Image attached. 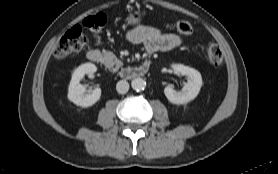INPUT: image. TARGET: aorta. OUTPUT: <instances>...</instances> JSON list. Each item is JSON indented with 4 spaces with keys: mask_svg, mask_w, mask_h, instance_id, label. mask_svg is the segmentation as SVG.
<instances>
[{
    "mask_svg": "<svg viewBox=\"0 0 278 174\" xmlns=\"http://www.w3.org/2000/svg\"><path fill=\"white\" fill-rule=\"evenodd\" d=\"M131 86L136 91L144 90L146 87V81L142 78H135L131 82Z\"/></svg>",
    "mask_w": 278,
    "mask_h": 174,
    "instance_id": "aorta-1",
    "label": "aorta"
}]
</instances>
